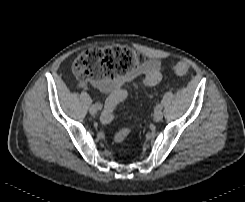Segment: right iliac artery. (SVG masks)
<instances>
[{
  "label": "right iliac artery",
  "mask_w": 245,
  "mask_h": 202,
  "mask_svg": "<svg viewBox=\"0 0 245 202\" xmlns=\"http://www.w3.org/2000/svg\"><path fill=\"white\" fill-rule=\"evenodd\" d=\"M95 105L98 107V109H100V110L102 109V105L100 102H96Z\"/></svg>",
  "instance_id": "82829eb1"
}]
</instances>
